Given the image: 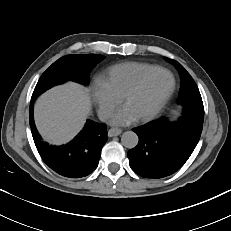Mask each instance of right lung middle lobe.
Returning a JSON list of instances; mask_svg holds the SVG:
<instances>
[{
    "mask_svg": "<svg viewBox=\"0 0 231 231\" xmlns=\"http://www.w3.org/2000/svg\"><path fill=\"white\" fill-rule=\"evenodd\" d=\"M103 59L104 56L98 54L67 55L60 58L42 74L31 101L34 102L47 89L68 80L86 85L90 71Z\"/></svg>",
    "mask_w": 231,
    "mask_h": 231,
    "instance_id": "right-lung-middle-lobe-1",
    "label": "right lung middle lobe"
}]
</instances>
